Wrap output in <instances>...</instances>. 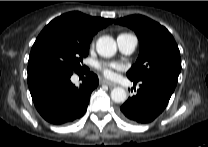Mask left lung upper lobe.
I'll return each instance as SVG.
<instances>
[{
  "mask_svg": "<svg viewBox=\"0 0 208 147\" xmlns=\"http://www.w3.org/2000/svg\"><path fill=\"white\" fill-rule=\"evenodd\" d=\"M115 23L134 30L140 41L138 59L127 72V77L134 82L158 77L176 85L181 71V58L171 33L142 15L120 18Z\"/></svg>",
  "mask_w": 208,
  "mask_h": 147,
  "instance_id": "left-lung-upper-lobe-1",
  "label": "left lung upper lobe"
}]
</instances>
